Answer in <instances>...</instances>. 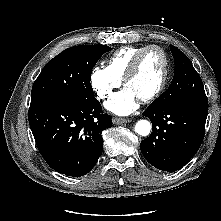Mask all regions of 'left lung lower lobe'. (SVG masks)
<instances>
[{"label": "left lung lower lobe", "instance_id": "0a47b994", "mask_svg": "<svg viewBox=\"0 0 221 221\" xmlns=\"http://www.w3.org/2000/svg\"><path fill=\"white\" fill-rule=\"evenodd\" d=\"M207 113V101L147 107L143 115L152 122V133L140 144L145 159L163 171L182 168L203 141Z\"/></svg>", "mask_w": 221, "mask_h": 221}]
</instances>
